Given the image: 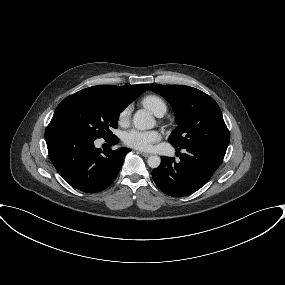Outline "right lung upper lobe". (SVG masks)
<instances>
[{
    "label": "right lung upper lobe",
    "instance_id": "cb5924a9",
    "mask_svg": "<svg viewBox=\"0 0 285 285\" xmlns=\"http://www.w3.org/2000/svg\"><path fill=\"white\" fill-rule=\"evenodd\" d=\"M148 88L147 84L131 86L97 85L75 94L97 96L114 101L125 108Z\"/></svg>",
    "mask_w": 285,
    "mask_h": 285
}]
</instances>
